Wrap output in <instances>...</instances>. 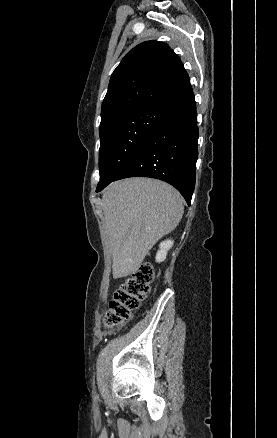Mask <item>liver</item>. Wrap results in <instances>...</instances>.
Returning <instances> with one entry per match:
<instances>
[{
    "label": "liver",
    "instance_id": "obj_1",
    "mask_svg": "<svg viewBox=\"0 0 277 438\" xmlns=\"http://www.w3.org/2000/svg\"><path fill=\"white\" fill-rule=\"evenodd\" d=\"M102 204L115 280L138 272L149 250L175 230L184 214L179 192L152 178L113 182Z\"/></svg>",
    "mask_w": 277,
    "mask_h": 438
}]
</instances>
